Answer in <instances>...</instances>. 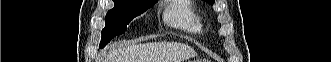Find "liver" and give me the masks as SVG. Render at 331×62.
<instances>
[{
  "instance_id": "6515ba94",
  "label": "liver",
  "mask_w": 331,
  "mask_h": 62,
  "mask_svg": "<svg viewBox=\"0 0 331 62\" xmlns=\"http://www.w3.org/2000/svg\"><path fill=\"white\" fill-rule=\"evenodd\" d=\"M195 55L188 45L176 42H154L127 47L115 46L105 62H183Z\"/></svg>"
}]
</instances>
